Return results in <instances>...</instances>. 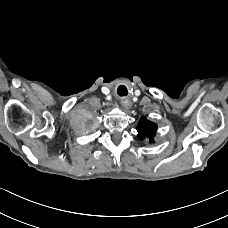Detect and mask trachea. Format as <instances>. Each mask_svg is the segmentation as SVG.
<instances>
[{
    "mask_svg": "<svg viewBox=\"0 0 228 228\" xmlns=\"http://www.w3.org/2000/svg\"><path fill=\"white\" fill-rule=\"evenodd\" d=\"M127 93H128V92H127V90H126V93H125V94H119V95H120V96H125V95H127Z\"/></svg>",
    "mask_w": 228,
    "mask_h": 228,
    "instance_id": "3493384b",
    "label": "trachea"
}]
</instances>
